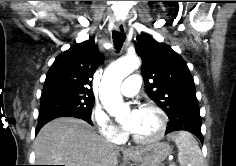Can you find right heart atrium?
<instances>
[{
	"mask_svg": "<svg viewBox=\"0 0 236 166\" xmlns=\"http://www.w3.org/2000/svg\"><path fill=\"white\" fill-rule=\"evenodd\" d=\"M91 120L99 133L106 139L117 142L121 140V134L111 122L108 114L101 106H94L91 111Z\"/></svg>",
	"mask_w": 236,
	"mask_h": 166,
	"instance_id": "right-heart-atrium-1",
	"label": "right heart atrium"
}]
</instances>
